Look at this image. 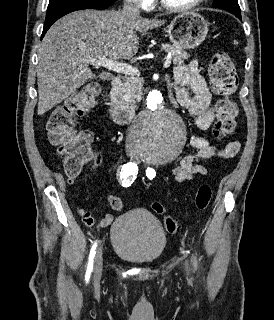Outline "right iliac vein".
<instances>
[{"instance_id": "1", "label": "right iliac vein", "mask_w": 274, "mask_h": 320, "mask_svg": "<svg viewBox=\"0 0 274 320\" xmlns=\"http://www.w3.org/2000/svg\"><path fill=\"white\" fill-rule=\"evenodd\" d=\"M102 270H103V252L102 248H98L95 260H94V284L98 285L101 279L102 275Z\"/></svg>"}]
</instances>
